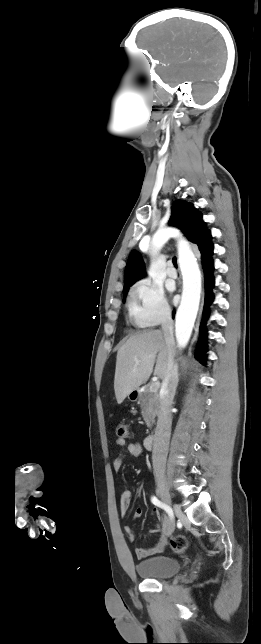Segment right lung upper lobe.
Here are the masks:
<instances>
[{"instance_id":"1","label":"right lung upper lobe","mask_w":261,"mask_h":644,"mask_svg":"<svg viewBox=\"0 0 261 644\" xmlns=\"http://www.w3.org/2000/svg\"><path fill=\"white\" fill-rule=\"evenodd\" d=\"M169 225L182 230L187 238L198 245L201 259H206L213 254L211 234L207 229L202 214L192 203L177 200L171 207ZM144 276V262L141 255L133 250L128 258L124 273V289L130 287Z\"/></svg>"}]
</instances>
